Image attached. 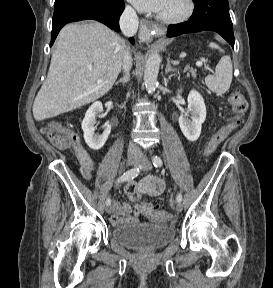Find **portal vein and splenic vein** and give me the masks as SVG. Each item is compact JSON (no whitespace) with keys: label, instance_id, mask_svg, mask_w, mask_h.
I'll return each mask as SVG.
<instances>
[{"label":"portal vein and splenic vein","instance_id":"18ae733b","mask_svg":"<svg viewBox=\"0 0 273 288\" xmlns=\"http://www.w3.org/2000/svg\"><path fill=\"white\" fill-rule=\"evenodd\" d=\"M196 66L201 67V66H202V62H201V61H198V62L196 63ZM98 83H102V81H98Z\"/></svg>","mask_w":273,"mask_h":288}]
</instances>
